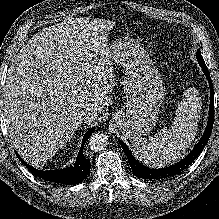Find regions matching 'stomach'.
Listing matches in <instances>:
<instances>
[{
	"label": "stomach",
	"instance_id": "obj_1",
	"mask_svg": "<svg viewBox=\"0 0 219 219\" xmlns=\"http://www.w3.org/2000/svg\"><path fill=\"white\" fill-rule=\"evenodd\" d=\"M107 50L110 61L123 68L122 87L127 98L113 115V122L126 138H140L157 123L164 98L161 75L145 48L133 39H117Z\"/></svg>",
	"mask_w": 219,
	"mask_h": 219
}]
</instances>
